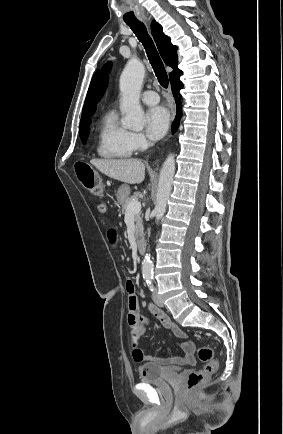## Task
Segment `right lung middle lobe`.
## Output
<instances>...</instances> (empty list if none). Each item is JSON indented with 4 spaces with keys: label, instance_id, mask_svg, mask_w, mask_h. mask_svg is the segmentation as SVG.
<instances>
[{
    "label": "right lung middle lobe",
    "instance_id": "right-lung-middle-lobe-1",
    "mask_svg": "<svg viewBox=\"0 0 283 434\" xmlns=\"http://www.w3.org/2000/svg\"><path fill=\"white\" fill-rule=\"evenodd\" d=\"M90 123L91 122L80 124L79 135H80V138H81V140H82L83 143H85L86 138L88 137Z\"/></svg>",
    "mask_w": 283,
    "mask_h": 434
}]
</instances>
